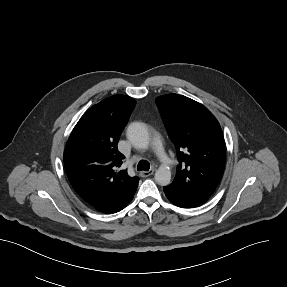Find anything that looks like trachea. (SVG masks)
<instances>
[{
    "label": "trachea",
    "instance_id": "trachea-1",
    "mask_svg": "<svg viewBox=\"0 0 287 287\" xmlns=\"http://www.w3.org/2000/svg\"><path fill=\"white\" fill-rule=\"evenodd\" d=\"M150 169V164L146 160H141L137 165V170L148 171Z\"/></svg>",
    "mask_w": 287,
    "mask_h": 287
}]
</instances>
